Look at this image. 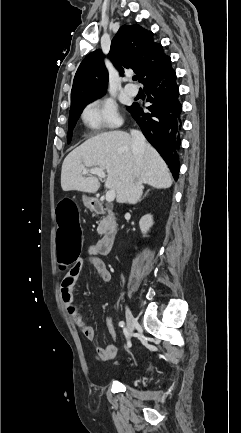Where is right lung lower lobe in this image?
<instances>
[{"label":"right lung lower lobe","instance_id":"right-lung-lower-lobe-1","mask_svg":"<svg viewBox=\"0 0 241 433\" xmlns=\"http://www.w3.org/2000/svg\"><path fill=\"white\" fill-rule=\"evenodd\" d=\"M147 94V107L144 112L138 103L129 107V112L140 126L147 140L161 154L175 179L179 176L182 105L178 100L179 89L176 73L169 63L159 74L148 78L144 83Z\"/></svg>","mask_w":241,"mask_h":433}]
</instances>
